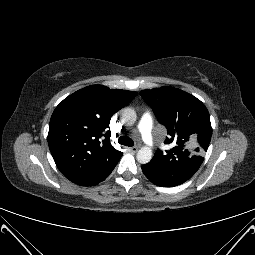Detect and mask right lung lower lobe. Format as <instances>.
I'll return each instance as SVG.
<instances>
[{"mask_svg": "<svg viewBox=\"0 0 255 255\" xmlns=\"http://www.w3.org/2000/svg\"><path fill=\"white\" fill-rule=\"evenodd\" d=\"M108 176H109V174H108L104 179H102L101 181L105 180ZM101 181H99V182H101ZM99 182H98V183H99ZM98 183H96V184H98ZM96 184H95V185H96Z\"/></svg>", "mask_w": 255, "mask_h": 255, "instance_id": "right-lung-lower-lobe-1", "label": "right lung lower lobe"}]
</instances>
